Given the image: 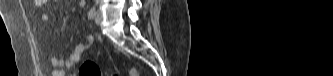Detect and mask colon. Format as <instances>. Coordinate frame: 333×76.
Here are the masks:
<instances>
[{"instance_id":"colon-1","label":"colon","mask_w":333,"mask_h":76,"mask_svg":"<svg viewBox=\"0 0 333 76\" xmlns=\"http://www.w3.org/2000/svg\"><path fill=\"white\" fill-rule=\"evenodd\" d=\"M77 72L81 73V76H102V72L97 66V64L90 59L85 60ZM131 76H137V71L135 69H132L130 71Z\"/></svg>"}]
</instances>
